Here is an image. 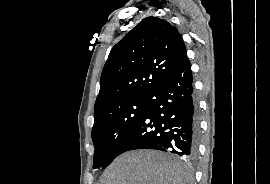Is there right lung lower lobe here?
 Wrapping results in <instances>:
<instances>
[{
    "instance_id": "98d812e1",
    "label": "right lung lower lobe",
    "mask_w": 270,
    "mask_h": 184,
    "mask_svg": "<svg viewBox=\"0 0 270 184\" xmlns=\"http://www.w3.org/2000/svg\"><path fill=\"white\" fill-rule=\"evenodd\" d=\"M147 99L146 113L119 155L144 148L195 156L198 121L189 59L157 85Z\"/></svg>"
}]
</instances>
